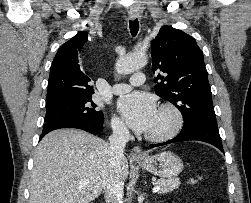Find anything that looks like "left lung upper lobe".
<instances>
[{"instance_id": "5c2ea615", "label": "left lung upper lobe", "mask_w": 251, "mask_h": 203, "mask_svg": "<svg viewBox=\"0 0 251 203\" xmlns=\"http://www.w3.org/2000/svg\"><path fill=\"white\" fill-rule=\"evenodd\" d=\"M155 92L182 113L183 129L217 127L203 52L188 34L163 26L151 42Z\"/></svg>"}]
</instances>
